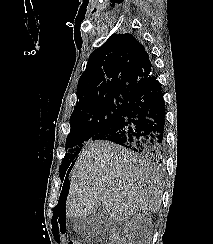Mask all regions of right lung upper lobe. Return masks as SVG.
I'll return each instance as SVG.
<instances>
[{
  "label": "right lung upper lobe",
  "instance_id": "cb5924a9",
  "mask_svg": "<svg viewBox=\"0 0 213 244\" xmlns=\"http://www.w3.org/2000/svg\"><path fill=\"white\" fill-rule=\"evenodd\" d=\"M154 75L150 56L132 34H112L94 50L77 86L74 108L108 95L133 97Z\"/></svg>",
  "mask_w": 213,
  "mask_h": 244
}]
</instances>
